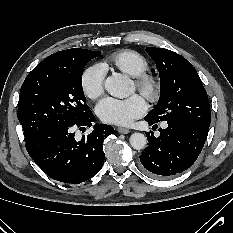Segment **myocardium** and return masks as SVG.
<instances>
[{
  "mask_svg": "<svg viewBox=\"0 0 233 233\" xmlns=\"http://www.w3.org/2000/svg\"><path fill=\"white\" fill-rule=\"evenodd\" d=\"M135 88L150 102L158 99L161 92L160 78L150 72H143L135 77Z\"/></svg>",
  "mask_w": 233,
  "mask_h": 233,
  "instance_id": "f54148a6",
  "label": "myocardium"
}]
</instances>
